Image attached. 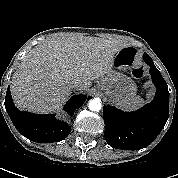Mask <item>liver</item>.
Listing matches in <instances>:
<instances>
[{
	"label": "liver",
	"instance_id": "1",
	"mask_svg": "<svg viewBox=\"0 0 178 178\" xmlns=\"http://www.w3.org/2000/svg\"><path fill=\"white\" fill-rule=\"evenodd\" d=\"M126 45L115 39L56 37L35 46L13 74L11 93L16 105L36 112H51L77 90H87L93 80L111 69L116 53Z\"/></svg>",
	"mask_w": 178,
	"mask_h": 178
}]
</instances>
